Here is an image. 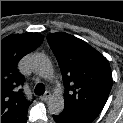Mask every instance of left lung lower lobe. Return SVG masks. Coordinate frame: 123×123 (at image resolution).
Wrapping results in <instances>:
<instances>
[{
    "label": "left lung lower lobe",
    "instance_id": "0a47b994",
    "mask_svg": "<svg viewBox=\"0 0 123 123\" xmlns=\"http://www.w3.org/2000/svg\"><path fill=\"white\" fill-rule=\"evenodd\" d=\"M53 119L56 123H80L64 113H60L59 115H53Z\"/></svg>",
    "mask_w": 123,
    "mask_h": 123
}]
</instances>
